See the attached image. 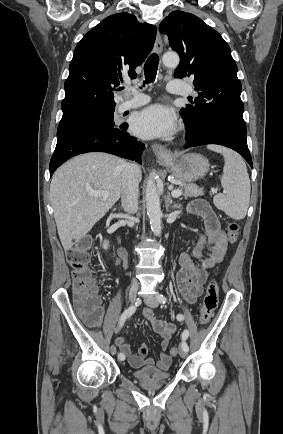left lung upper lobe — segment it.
Returning <instances> with one entry per match:
<instances>
[{"label":"left lung upper lobe","instance_id":"left-lung-upper-lobe-1","mask_svg":"<svg viewBox=\"0 0 283 434\" xmlns=\"http://www.w3.org/2000/svg\"><path fill=\"white\" fill-rule=\"evenodd\" d=\"M180 56L174 77L193 79L198 97L180 110L187 137L226 127L247 133L241 82L231 50L222 36L197 16L171 12L160 24Z\"/></svg>","mask_w":283,"mask_h":434}]
</instances>
